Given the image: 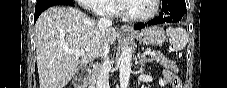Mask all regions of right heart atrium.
<instances>
[{"instance_id":"right-heart-atrium-1","label":"right heart atrium","mask_w":227,"mask_h":88,"mask_svg":"<svg viewBox=\"0 0 227 88\" xmlns=\"http://www.w3.org/2000/svg\"><path fill=\"white\" fill-rule=\"evenodd\" d=\"M78 3L88 11L99 16H107L110 14L109 10L106 8L109 0H78Z\"/></svg>"}]
</instances>
